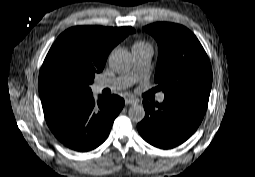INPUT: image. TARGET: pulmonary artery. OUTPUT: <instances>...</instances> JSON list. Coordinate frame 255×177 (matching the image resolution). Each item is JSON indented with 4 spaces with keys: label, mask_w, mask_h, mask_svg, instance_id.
<instances>
[{
    "label": "pulmonary artery",
    "mask_w": 255,
    "mask_h": 177,
    "mask_svg": "<svg viewBox=\"0 0 255 177\" xmlns=\"http://www.w3.org/2000/svg\"><path fill=\"white\" fill-rule=\"evenodd\" d=\"M133 57L136 63V68L139 72L143 73L148 70L152 57V49L146 48L140 51H133ZM132 84L129 75H123L117 79H107L96 84V89L101 91L104 88L121 89L126 88ZM164 94H160L158 102H163Z\"/></svg>",
    "instance_id": "1"
}]
</instances>
